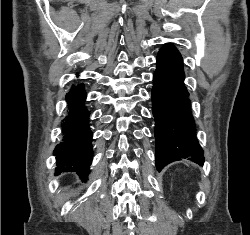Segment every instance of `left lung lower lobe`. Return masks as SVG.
Returning <instances> with one entry per match:
<instances>
[{
    "mask_svg": "<svg viewBox=\"0 0 250 235\" xmlns=\"http://www.w3.org/2000/svg\"><path fill=\"white\" fill-rule=\"evenodd\" d=\"M184 79L183 60L179 51L171 44H166L157 56L152 88L158 171L182 158L201 165L204 163L203 150L194 133V120Z\"/></svg>",
    "mask_w": 250,
    "mask_h": 235,
    "instance_id": "0a47b994",
    "label": "left lung lower lobe"
}]
</instances>
